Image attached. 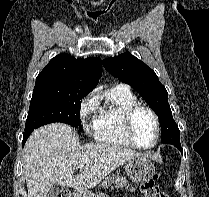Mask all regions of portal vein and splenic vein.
<instances>
[{"label": "portal vein and splenic vein", "mask_w": 209, "mask_h": 197, "mask_svg": "<svg viewBox=\"0 0 209 197\" xmlns=\"http://www.w3.org/2000/svg\"><path fill=\"white\" fill-rule=\"evenodd\" d=\"M78 168L82 169V168H83V166H82V165H79V166H78Z\"/></svg>", "instance_id": "1"}]
</instances>
